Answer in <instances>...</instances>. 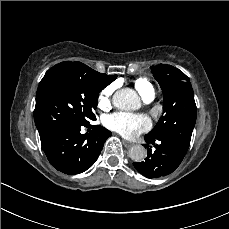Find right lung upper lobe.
<instances>
[{
    "mask_svg": "<svg viewBox=\"0 0 229 229\" xmlns=\"http://www.w3.org/2000/svg\"><path fill=\"white\" fill-rule=\"evenodd\" d=\"M57 65L75 69L87 79V81L90 83L92 87L100 91L104 89L107 85H109L111 82H113L117 77V75H106L99 73L80 62L65 61Z\"/></svg>",
    "mask_w": 229,
    "mask_h": 229,
    "instance_id": "1",
    "label": "right lung upper lobe"
}]
</instances>
